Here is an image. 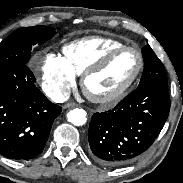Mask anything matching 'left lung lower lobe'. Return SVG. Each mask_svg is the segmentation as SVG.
Masks as SVG:
<instances>
[{
  "mask_svg": "<svg viewBox=\"0 0 183 183\" xmlns=\"http://www.w3.org/2000/svg\"><path fill=\"white\" fill-rule=\"evenodd\" d=\"M170 110L167 86L138 87L115 108L95 113L89 125L91 155L100 164H126L152 145Z\"/></svg>",
  "mask_w": 183,
  "mask_h": 183,
  "instance_id": "left-lung-lower-lobe-1",
  "label": "left lung lower lobe"
}]
</instances>
